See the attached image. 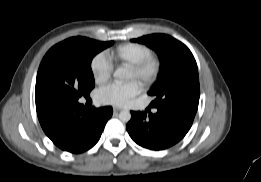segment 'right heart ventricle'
<instances>
[{"label":"right heart ventricle","mask_w":261,"mask_h":182,"mask_svg":"<svg viewBox=\"0 0 261 182\" xmlns=\"http://www.w3.org/2000/svg\"><path fill=\"white\" fill-rule=\"evenodd\" d=\"M151 56V50L144 44L125 43L119 45L113 55V60L121 65L131 66Z\"/></svg>","instance_id":"obj_1"}]
</instances>
